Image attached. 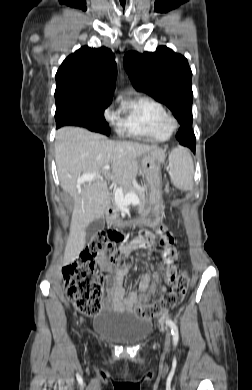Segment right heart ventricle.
I'll list each match as a JSON object with an SVG mask.
<instances>
[{
  "mask_svg": "<svg viewBox=\"0 0 252 390\" xmlns=\"http://www.w3.org/2000/svg\"><path fill=\"white\" fill-rule=\"evenodd\" d=\"M121 112L123 116L117 124V132L148 142L167 140L171 130L165 127L163 117L164 106L149 97H138L125 103Z\"/></svg>",
  "mask_w": 252,
  "mask_h": 390,
  "instance_id": "1",
  "label": "right heart ventricle"
}]
</instances>
